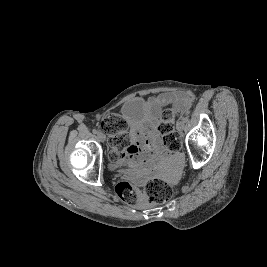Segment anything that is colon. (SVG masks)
<instances>
[{
	"label": "colon",
	"mask_w": 267,
	"mask_h": 267,
	"mask_svg": "<svg viewBox=\"0 0 267 267\" xmlns=\"http://www.w3.org/2000/svg\"><path fill=\"white\" fill-rule=\"evenodd\" d=\"M177 117L176 109H166L161 113L155 125V131L170 151H177L181 148V139L176 131ZM99 127L108 137V159L112 163L123 161L127 154L132 152L127 122L118 114H107L101 119ZM116 192L128 204H134L139 200L140 191L130 181L119 182ZM146 192L148 198L156 203L167 202L173 193L170 185L158 179L147 183Z\"/></svg>",
	"instance_id": "colon-1"
}]
</instances>
